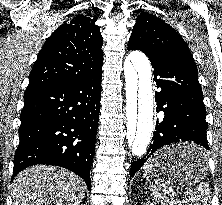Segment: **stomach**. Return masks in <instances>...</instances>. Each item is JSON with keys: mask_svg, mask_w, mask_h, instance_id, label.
<instances>
[{"mask_svg": "<svg viewBox=\"0 0 222 205\" xmlns=\"http://www.w3.org/2000/svg\"><path fill=\"white\" fill-rule=\"evenodd\" d=\"M201 149L192 143H178L165 147L153 157L151 175L163 186L189 187L198 183L207 174V158L204 162L192 166L172 164L170 160L180 151Z\"/></svg>", "mask_w": 222, "mask_h": 205, "instance_id": "obj_1", "label": "stomach"}]
</instances>
